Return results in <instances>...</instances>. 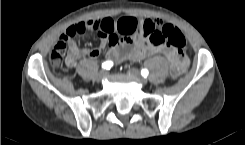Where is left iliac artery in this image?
<instances>
[{
  "label": "left iliac artery",
  "mask_w": 245,
  "mask_h": 145,
  "mask_svg": "<svg viewBox=\"0 0 245 145\" xmlns=\"http://www.w3.org/2000/svg\"><path fill=\"white\" fill-rule=\"evenodd\" d=\"M148 74H149V72H148V70L147 69H142L141 70V75L143 76V77H147L148 76Z\"/></svg>",
  "instance_id": "1"
}]
</instances>
